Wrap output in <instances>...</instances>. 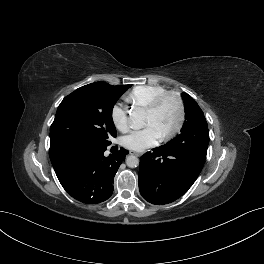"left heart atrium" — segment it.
<instances>
[{
	"mask_svg": "<svg viewBox=\"0 0 264 264\" xmlns=\"http://www.w3.org/2000/svg\"><path fill=\"white\" fill-rule=\"evenodd\" d=\"M161 135L152 125L133 130L122 138V144L134 151H143L157 144Z\"/></svg>",
	"mask_w": 264,
	"mask_h": 264,
	"instance_id": "left-heart-atrium-1",
	"label": "left heart atrium"
}]
</instances>
